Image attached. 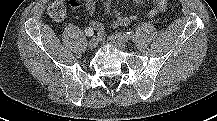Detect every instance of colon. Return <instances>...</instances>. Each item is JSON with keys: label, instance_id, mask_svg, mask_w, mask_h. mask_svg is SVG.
<instances>
[{"label": "colon", "instance_id": "1", "mask_svg": "<svg viewBox=\"0 0 217 121\" xmlns=\"http://www.w3.org/2000/svg\"><path fill=\"white\" fill-rule=\"evenodd\" d=\"M67 11L65 0H57L51 3L47 9L48 15L55 21L64 19Z\"/></svg>", "mask_w": 217, "mask_h": 121}]
</instances>
